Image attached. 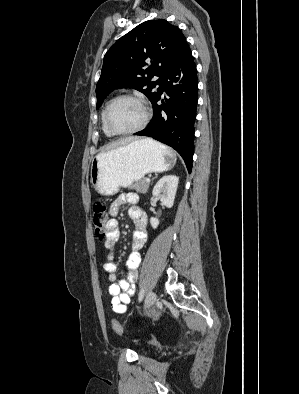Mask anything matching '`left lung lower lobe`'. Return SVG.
I'll list each match as a JSON object with an SVG mask.
<instances>
[{"instance_id": "obj_1", "label": "left lung lower lobe", "mask_w": 299, "mask_h": 394, "mask_svg": "<svg viewBox=\"0 0 299 394\" xmlns=\"http://www.w3.org/2000/svg\"><path fill=\"white\" fill-rule=\"evenodd\" d=\"M159 88L150 100L153 118L135 135L152 137L174 148L184 159L189 173L194 152V122L198 101L196 65L188 44L158 79ZM163 91L166 97L162 99ZM162 99V104L157 102Z\"/></svg>"}]
</instances>
